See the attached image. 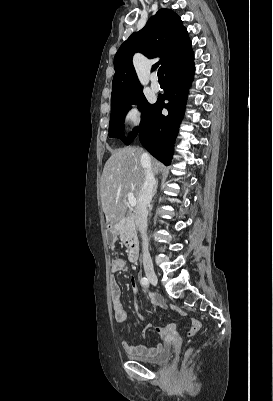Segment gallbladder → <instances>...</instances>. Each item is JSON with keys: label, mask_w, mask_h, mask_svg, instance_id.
Instances as JSON below:
<instances>
[{"label": "gallbladder", "mask_w": 273, "mask_h": 401, "mask_svg": "<svg viewBox=\"0 0 273 401\" xmlns=\"http://www.w3.org/2000/svg\"><path fill=\"white\" fill-rule=\"evenodd\" d=\"M107 240H108V245L109 246H114L115 245L114 232L113 231H108L107 232Z\"/></svg>", "instance_id": "gallbladder-1"}]
</instances>
